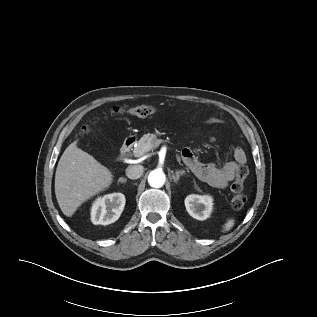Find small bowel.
<instances>
[{
	"label": "small bowel",
	"instance_id": "c3829d8e",
	"mask_svg": "<svg viewBox=\"0 0 317 317\" xmlns=\"http://www.w3.org/2000/svg\"><path fill=\"white\" fill-rule=\"evenodd\" d=\"M207 122L216 124L221 123V120L211 117ZM182 159L198 179L216 188H226L237 177L238 168L247 162L246 153L241 147L234 149L232 160L220 166L201 162L189 148L182 150Z\"/></svg>",
	"mask_w": 317,
	"mask_h": 317
}]
</instances>
